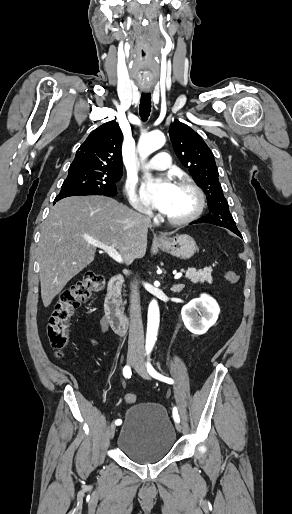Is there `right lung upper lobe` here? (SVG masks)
I'll use <instances>...</instances> for the list:
<instances>
[{"instance_id": "right-lung-upper-lobe-1", "label": "right lung upper lobe", "mask_w": 292, "mask_h": 514, "mask_svg": "<svg viewBox=\"0 0 292 514\" xmlns=\"http://www.w3.org/2000/svg\"><path fill=\"white\" fill-rule=\"evenodd\" d=\"M122 131L115 121L93 130L79 147L69 173H123Z\"/></svg>"}]
</instances>
